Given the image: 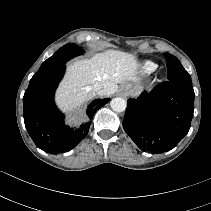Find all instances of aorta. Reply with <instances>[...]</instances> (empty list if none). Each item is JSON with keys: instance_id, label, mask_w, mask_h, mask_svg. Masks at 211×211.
Masks as SVG:
<instances>
[{"instance_id": "aorta-1", "label": "aorta", "mask_w": 211, "mask_h": 211, "mask_svg": "<svg viewBox=\"0 0 211 211\" xmlns=\"http://www.w3.org/2000/svg\"><path fill=\"white\" fill-rule=\"evenodd\" d=\"M110 106L115 112H123L127 107L125 99L117 97L111 100Z\"/></svg>"}]
</instances>
